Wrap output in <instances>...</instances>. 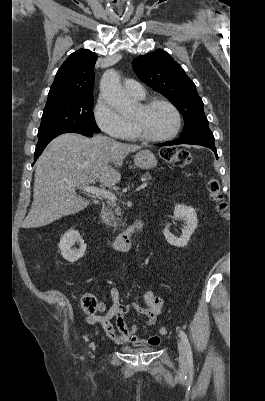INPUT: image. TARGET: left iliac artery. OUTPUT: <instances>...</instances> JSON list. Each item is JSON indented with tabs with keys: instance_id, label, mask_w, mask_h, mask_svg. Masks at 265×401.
<instances>
[{
	"instance_id": "44dca946",
	"label": "left iliac artery",
	"mask_w": 265,
	"mask_h": 401,
	"mask_svg": "<svg viewBox=\"0 0 265 401\" xmlns=\"http://www.w3.org/2000/svg\"><path fill=\"white\" fill-rule=\"evenodd\" d=\"M179 336L181 337L183 344L186 348L188 365L190 368H192L193 367V354H192V350H191V346H190L187 334L184 331L180 330Z\"/></svg>"
}]
</instances>
